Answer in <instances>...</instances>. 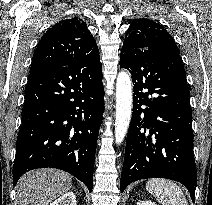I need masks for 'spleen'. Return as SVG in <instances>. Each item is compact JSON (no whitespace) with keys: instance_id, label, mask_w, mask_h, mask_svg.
<instances>
[{"instance_id":"obj_1","label":"spleen","mask_w":212,"mask_h":205,"mask_svg":"<svg viewBox=\"0 0 212 205\" xmlns=\"http://www.w3.org/2000/svg\"><path fill=\"white\" fill-rule=\"evenodd\" d=\"M146 190L162 205H188L182 189L170 180L150 179L146 183Z\"/></svg>"}]
</instances>
